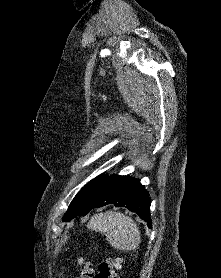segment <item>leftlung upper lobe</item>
<instances>
[{"mask_svg":"<svg viewBox=\"0 0 221 278\" xmlns=\"http://www.w3.org/2000/svg\"><path fill=\"white\" fill-rule=\"evenodd\" d=\"M86 187H87V185L84 186V187L77 193V195L75 196V198H74L73 201L71 202V204H70V206H69V208H68V211H67V213L65 214V217H64L63 219H66V218L71 214L74 205L76 204V202L78 201L79 197H80L81 194L84 192V190H85Z\"/></svg>","mask_w":221,"mask_h":278,"instance_id":"left-lung-upper-lobe-1","label":"left lung upper lobe"}]
</instances>
